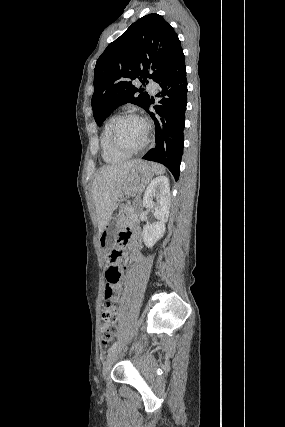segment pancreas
I'll use <instances>...</instances> for the list:
<instances>
[{
  "label": "pancreas",
  "mask_w": 285,
  "mask_h": 427,
  "mask_svg": "<svg viewBox=\"0 0 285 427\" xmlns=\"http://www.w3.org/2000/svg\"><path fill=\"white\" fill-rule=\"evenodd\" d=\"M135 209L129 205H125L122 214L119 218V225L124 226L134 222L137 216L134 214Z\"/></svg>",
  "instance_id": "pancreas-1"
}]
</instances>
